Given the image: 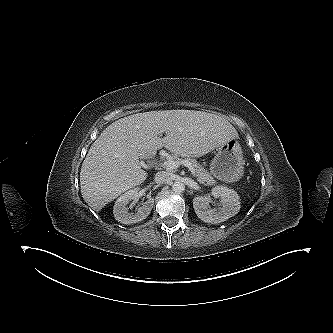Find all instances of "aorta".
<instances>
[{
    "mask_svg": "<svg viewBox=\"0 0 333 333\" xmlns=\"http://www.w3.org/2000/svg\"><path fill=\"white\" fill-rule=\"evenodd\" d=\"M172 190L177 193H181L185 190V185L181 181H175L172 184Z\"/></svg>",
    "mask_w": 333,
    "mask_h": 333,
    "instance_id": "762f6f07",
    "label": "aorta"
}]
</instances>
